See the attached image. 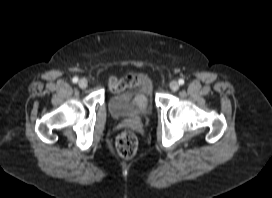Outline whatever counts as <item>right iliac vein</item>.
Segmentation results:
<instances>
[{
  "instance_id": "1",
  "label": "right iliac vein",
  "mask_w": 272,
  "mask_h": 198,
  "mask_svg": "<svg viewBox=\"0 0 272 198\" xmlns=\"http://www.w3.org/2000/svg\"><path fill=\"white\" fill-rule=\"evenodd\" d=\"M78 85H79L80 88L84 89V88L87 87L88 82H87L86 79L82 78V79L79 80Z\"/></svg>"
}]
</instances>
